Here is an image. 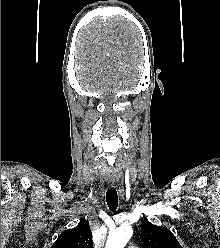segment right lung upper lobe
Instances as JSON below:
<instances>
[{
    "label": "right lung upper lobe",
    "instance_id": "cb5924a9",
    "mask_svg": "<svg viewBox=\"0 0 220 248\" xmlns=\"http://www.w3.org/2000/svg\"><path fill=\"white\" fill-rule=\"evenodd\" d=\"M51 248H93L89 221L82 219L73 229L62 232Z\"/></svg>",
    "mask_w": 220,
    "mask_h": 248
}]
</instances>
